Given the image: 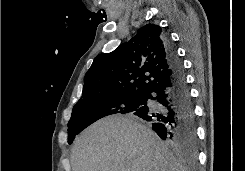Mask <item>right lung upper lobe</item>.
I'll return each instance as SVG.
<instances>
[{
  "label": "right lung upper lobe",
  "mask_w": 245,
  "mask_h": 171,
  "mask_svg": "<svg viewBox=\"0 0 245 171\" xmlns=\"http://www.w3.org/2000/svg\"><path fill=\"white\" fill-rule=\"evenodd\" d=\"M166 37L160 26L147 24L113 52L99 54L84 77L80 101L117 95H142L170 75Z\"/></svg>",
  "instance_id": "1"
}]
</instances>
